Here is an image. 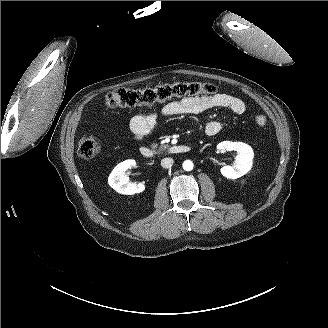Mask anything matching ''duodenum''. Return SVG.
I'll use <instances>...</instances> for the list:
<instances>
[{"mask_svg": "<svg viewBox=\"0 0 328 328\" xmlns=\"http://www.w3.org/2000/svg\"><path fill=\"white\" fill-rule=\"evenodd\" d=\"M190 151V147L187 145H173L167 149H165L164 151H158L152 148H149L147 146H142L139 149V152L141 154L142 157L146 158V159H151L154 158L156 156H159L161 154H173V155H178V154H184Z\"/></svg>", "mask_w": 328, "mask_h": 328, "instance_id": "duodenum-1", "label": "duodenum"}]
</instances>
